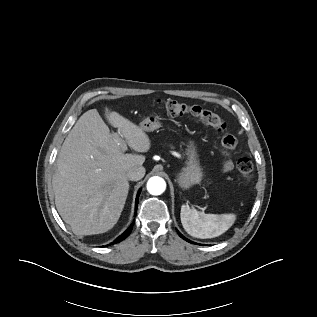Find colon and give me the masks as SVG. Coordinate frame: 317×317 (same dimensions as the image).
Returning a JSON list of instances; mask_svg holds the SVG:
<instances>
[{"instance_id":"colon-1","label":"colon","mask_w":317,"mask_h":317,"mask_svg":"<svg viewBox=\"0 0 317 317\" xmlns=\"http://www.w3.org/2000/svg\"><path fill=\"white\" fill-rule=\"evenodd\" d=\"M165 109L167 114L171 117L188 115L219 132H224L226 129V124L220 116L201 106L188 105L176 100H169L165 102ZM236 145V137L230 133H224L220 144L222 154L224 156L228 155ZM236 168L239 175L245 181L251 180L254 174V166L250 159L240 158L236 163Z\"/></svg>"}]
</instances>
